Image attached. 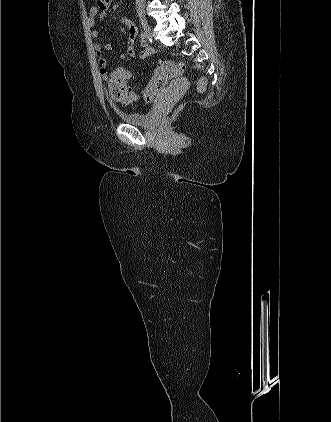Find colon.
Wrapping results in <instances>:
<instances>
[{
  "label": "colon",
  "mask_w": 331,
  "mask_h": 422,
  "mask_svg": "<svg viewBox=\"0 0 331 422\" xmlns=\"http://www.w3.org/2000/svg\"><path fill=\"white\" fill-rule=\"evenodd\" d=\"M184 71V65L173 61H160L156 68V78L163 81L164 79H172L180 76ZM130 79V72L124 68H118L110 73L108 80V89L111 97L117 101H126L134 99L135 95L132 92L128 81ZM205 80H200L198 84L199 91L205 88Z\"/></svg>",
  "instance_id": "obj_1"
}]
</instances>
